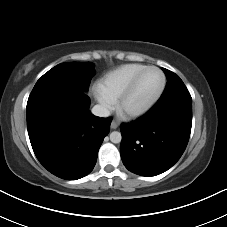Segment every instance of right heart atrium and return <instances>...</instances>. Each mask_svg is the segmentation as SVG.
<instances>
[{"label":"right heart atrium","instance_id":"obj_1","mask_svg":"<svg viewBox=\"0 0 227 227\" xmlns=\"http://www.w3.org/2000/svg\"><path fill=\"white\" fill-rule=\"evenodd\" d=\"M97 99L105 110H109L114 106V100L101 90H99L97 93Z\"/></svg>","mask_w":227,"mask_h":227}]
</instances>
